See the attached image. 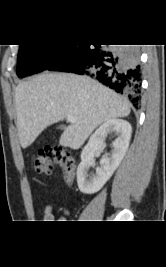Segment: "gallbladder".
Listing matches in <instances>:
<instances>
[{
    "instance_id": "gallbladder-1",
    "label": "gallbladder",
    "mask_w": 166,
    "mask_h": 267,
    "mask_svg": "<svg viewBox=\"0 0 166 267\" xmlns=\"http://www.w3.org/2000/svg\"><path fill=\"white\" fill-rule=\"evenodd\" d=\"M58 128H59V129H64V126H59Z\"/></svg>"
}]
</instances>
